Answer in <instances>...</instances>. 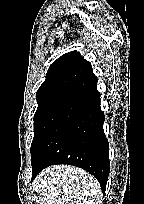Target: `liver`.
<instances>
[{
    "mask_svg": "<svg viewBox=\"0 0 144 204\" xmlns=\"http://www.w3.org/2000/svg\"><path fill=\"white\" fill-rule=\"evenodd\" d=\"M43 195L40 204H100L98 181L88 172L69 165L43 170L33 182Z\"/></svg>",
    "mask_w": 144,
    "mask_h": 204,
    "instance_id": "6515ba94",
    "label": "liver"
}]
</instances>
